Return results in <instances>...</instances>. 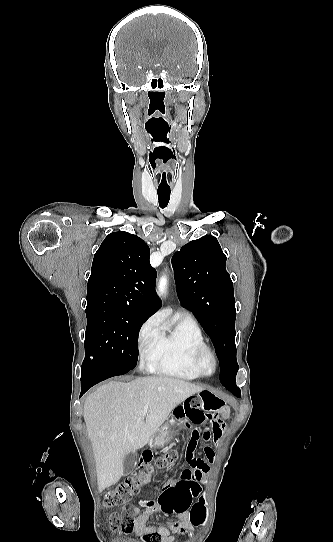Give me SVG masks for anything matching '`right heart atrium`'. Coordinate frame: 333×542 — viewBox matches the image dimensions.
Segmentation results:
<instances>
[{
	"label": "right heart atrium",
	"mask_w": 333,
	"mask_h": 542,
	"mask_svg": "<svg viewBox=\"0 0 333 542\" xmlns=\"http://www.w3.org/2000/svg\"><path fill=\"white\" fill-rule=\"evenodd\" d=\"M160 336L159 326L156 320H148L141 328L139 341L141 348L155 342Z\"/></svg>",
	"instance_id": "right-heart-atrium-1"
}]
</instances>
